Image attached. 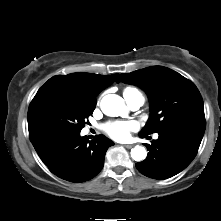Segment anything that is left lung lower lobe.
I'll use <instances>...</instances> for the list:
<instances>
[{"instance_id": "0a47b994", "label": "left lung lower lobe", "mask_w": 221, "mask_h": 221, "mask_svg": "<svg viewBox=\"0 0 221 221\" xmlns=\"http://www.w3.org/2000/svg\"><path fill=\"white\" fill-rule=\"evenodd\" d=\"M205 131V122L177 123L158 132L159 137L147 158L136 163V168L147 177L162 180L184 170L194 159ZM144 137L145 135H140Z\"/></svg>"}]
</instances>
